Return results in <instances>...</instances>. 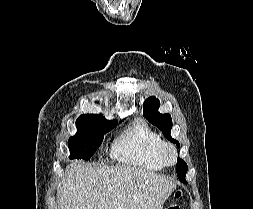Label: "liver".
<instances>
[{
  "instance_id": "1",
  "label": "liver",
  "mask_w": 253,
  "mask_h": 209,
  "mask_svg": "<svg viewBox=\"0 0 253 209\" xmlns=\"http://www.w3.org/2000/svg\"><path fill=\"white\" fill-rule=\"evenodd\" d=\"M176 182L136 166H97L81 161L66 167L57 192L60 209H163Z\"/></svg>"
}]
</instances>
